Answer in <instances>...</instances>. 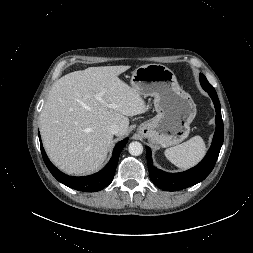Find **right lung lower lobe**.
Segmentation results:
<instances>
[{
	"mask_svg": "<svg viewBox=\"0 0 253 253\" xmlns=\"http://www.w3.org/2000/svg\"><path fill=\"white\" fill-rule=\"evenodd\" d=\"M127 141L128 139L126 138L120 141L119 143H117V145L114 148L113 156L111 160L101 171L93 175L84 176V177H72L59 171L49 161L44 151V148L42 146L41 139H40V147H41L43 160L47 168L59 182L78 191L95 192V191H100L104 189L106 186H108L112 182L114 174H115V170L117 167L118 159H119V154L121 153V150L123 149V147L126 145Z\"/></svg>",
	"mask_w": 253,
	"mask_h": 253,
	"instance_id": "right-lung-lower-lobe-1",
	"label": "right lung lower lobe"
}]
</instances>
